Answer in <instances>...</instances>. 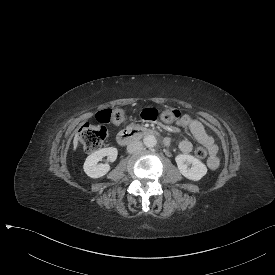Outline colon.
Segmentation results:
<instances>
[{
    "label": "colon",
    "instance_id": "colon-1",
    "mask_svg": "<svg viewBox=\"0 0 275 275\" xmlns=\"http://www.w3.org/2000/svg\"><path fill=\"white\" fill-rule=\"evenodd\" d=\"M179 113V114H178ZM182 112L180 110L169 107L163 110L156 108H145L141 112V116L147 121H161L162 123H172L174 120L180 118ZM125 120V115L122 110L104 109L98 112L96 117V124L85 123L80 126L78 136L83 149L86 152H96L100 150L108 136L106 125L121 124ZM195 155L199 159H204L207 156V151L204 147H197Z\"/></svg>",
    "mask_w": 275,
    "mask_h": 275
}]
</instances>
